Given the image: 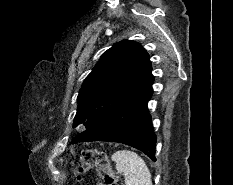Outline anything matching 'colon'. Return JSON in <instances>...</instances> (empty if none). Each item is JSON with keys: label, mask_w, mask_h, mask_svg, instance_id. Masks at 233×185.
Instances as JSON below:
<instances>
[{"label": "colon", "mask_w": 233, "mask_h": 185, "mask_svg": "<svg viewBox=\"0 0 233 185\" xmlns=\"http://www.w3.org/2000/svg\"><path fill=\"white\" fill-rule=\"evenodd\" d=\"M88 169L96 171L100 185H117L110 162L103 151L92 148L82 152L79 163L74 167V172L76 175H81Z\"/></svg>", "instance_id": "obj_1"}]
</instances>
